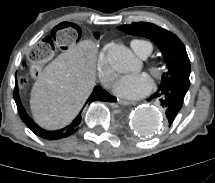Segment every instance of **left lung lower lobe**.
<instances>
[{"label": "left lung lower lobe", "instance_id": "1", "mask_svg": "<svg viewBox=\"0 0 215 183\" xmlns=\"http://www.w3.org/2000/svg\"><path fill=\"white\" fill-rule=\"evenodd\" d=\"M187 90V88L179 84L170 83L160 86L148 101H158L166 111V117L168 119L169 126H171L183 105Z\"/></svg>", "mask_w": 215, "mask_h": 183}]
</instances>
